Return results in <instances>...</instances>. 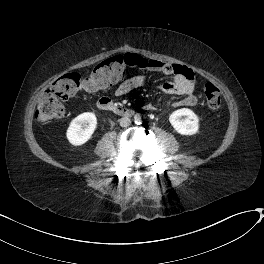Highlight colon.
Wrapping results in <instances>:
<instances>
[{
    "instance_id": "5ec220e1",
    "label": "colon",
    "mask_w": 264,
    "mask_h": 264,
    "mask_svg": "<svg viewBox=\"0 0 264 264\" xmlns=\"http://www.w3.org/2000/svg\"><path fill=\"white\" fill-rule=\"evenodd\" d=\"M136 68L133 55L111 57L96 66L87 79H82L78 73H66L57 78L42 94L35 110V118L41 123L61 118L64 107L60 99H69L79 93H91L102 90L119 82L129 69ZM205 99L210 108L221 107L222 94L212 83L204 86Z\"/></svg>"
}]
</instances>
